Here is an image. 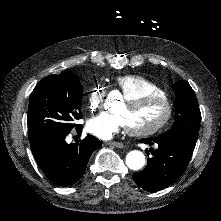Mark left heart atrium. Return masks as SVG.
Listing matches in <instances>:
<instances>
[{"instance_id": "left-heart-atrium-1", "label": "left heart atrium", "mask_w": 221, "mask_h": 221, "mask_svg": "<svg viewBox=\"0 0 221 221\" xmlns=\"http://www.w3.org/2000/svg\"><path fill=\"white\" fill-rule=\"evenodd\" d=\"M88 130L103 139H112L123 128L122 118L114 112L104 113L101 117L93 118L88 122Z\"/></svg>"}]
</instances>
